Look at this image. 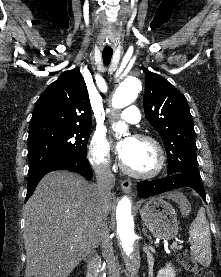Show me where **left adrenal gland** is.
<instances>
[{"instance_id": "a2214340", "label": "left adrenal gland", "mask_w": 221, "mask_h": 277, "mask_svg": "<svg viewBox=\"0 0 221 277\" xmlns=\"http://www.w3.org/2000/svg\"><path fill=\"white\" fill-rule=\"evenodd\" d=\"M143 232H144V234L147 236V231L145 230V228H143ZM147 237H148L149 241H152L151 236L148 235Z\"/></svg>"}]
</instances>
